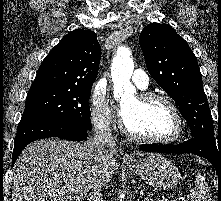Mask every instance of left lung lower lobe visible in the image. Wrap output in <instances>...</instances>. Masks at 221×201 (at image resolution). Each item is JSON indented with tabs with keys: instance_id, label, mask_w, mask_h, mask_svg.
Instances as JSON below:
<instances>
[{
	"instance_id": "left-lung-lower-lobe-1",
	"label": "left lung lower lobe",
	"mask_w": 221,
	"mask_h": 201,
	"mask_svg": "<svg viewBox=\"0 0 221 201\" xmlns=\"http://www.w3.org/2000/svg\"><path fill=\"white\" fill-rule=\"evenodd\" d=\"M140 149L146 152L196 154L211 162L217 174L221 175V146L211 144L200 136L191 137L188 141L177 145L145 144L141 145Z\"/></svg>"
}]
</instances>
